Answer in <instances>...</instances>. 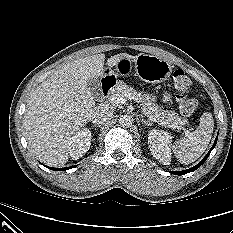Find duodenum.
Masks as SVG:
<instances>
[{"instance_id": "obj_1", "label": "duodenum", "mask_w": 233, "mask_h": 233, "mask_svg": "<svg viewBox=\"0 0 233 233\" xmlns=\"http://www.w3.org/2000/svg\"><path fill=\"white\" fill-rule=\"evenodd\" d=\"M114 85H115V79L113 77L107 76L103 78L100 86L101 96L102 97L107 96L111 91V89L114 87Z\"/></svg>"}]
</instances>
